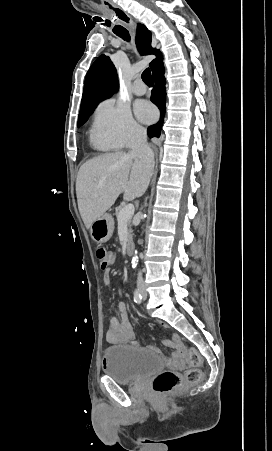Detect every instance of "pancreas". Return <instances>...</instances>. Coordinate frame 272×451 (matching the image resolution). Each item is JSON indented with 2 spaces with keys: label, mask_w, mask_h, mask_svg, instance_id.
Segmentation results:
<instances>
[{
  "label": "pancreas",
  "mask_w": 272,
  "mask_h": 451,
  "mask_svg": "<svg viewBox=\"0 0 272 451\" xmlns=\"http://www.w3.org/2000/svg\"><path fill=\"white\" fill-rule=\"evenodd\" d=\"M120 210H123V206H118V208H116V216H117V218L119 216ZM126 224L128 226V241H133V235H132L133 229H131V220H128V222H126Z\"/></svg>",
  "instance_id": "pancreas-1"
}]
</instances>
